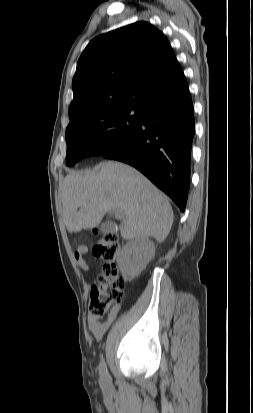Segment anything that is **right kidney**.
I'll return each instance as SVG.
<instances>
[{"label": "right kidney", "instance_id": "obj_1", "mask_svg": "<svg viewBox=\"0 0 253 413\" xmlns=\"http://www.w3.org/2000/svg\"><path fill=\"white\" fill-rule=\"evenodd\" d=\"M155 255V245L148 237L129 241L117 256L119 269L127 280L143 271Z\"/></svg>", "mask_w": 253, "mask_h": 413}]
</instances>
